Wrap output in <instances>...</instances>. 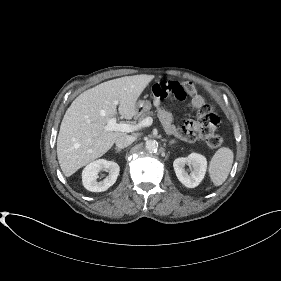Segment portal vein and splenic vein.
<instances>
[{"label": "portal vein and splenic vein", "instance_id": "1", "mask_svg": "<svg viewBox=\"0 0 281 281\" xmlns=\"http://www.w3.org/2000/svg\"><path fill=\"white\" fill-rule=\"evenodd\" d=\"M115 105L119 104L118 100L114 101ZM153 123V119L151 117H146L138 124H129V123H117L116 117H113L108 120L107 125L104 127L105 131H120V132H135L139 131L144 127H149Z\"/></svg>", "mask_w": 281, "mask_h": 281}]
</instances>
